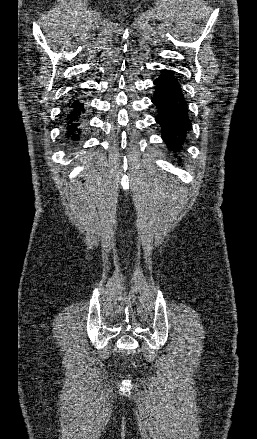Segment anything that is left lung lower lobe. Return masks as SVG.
I'll return each instance as SVG.
<instances>
[{"label": "left lung lower lobe", "instance_id": "1", "mask_svg": "<svg viewBox=\"0 0 257 439\" xmlns=\"http://www.w3.org/2000/svg\"><path fill=\"white\" fill-rule=\"evenodd\" d=\"M154 84L156 88L152 102L158 109L155 121L161 126L162 138L167 147L177 157L191 130L187 104L172 71L163 70Z\"/></svg>", "mask_w": 257, "mask_h": 439}]
</instances>
